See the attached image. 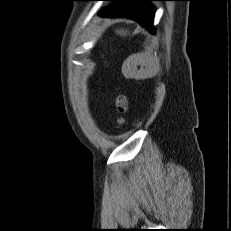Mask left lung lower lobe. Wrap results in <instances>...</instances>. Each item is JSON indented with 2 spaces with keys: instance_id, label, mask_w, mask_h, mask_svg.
<instances>
[{
  "instance_id": "0a47b994",
  "label": "left lung lower lobe",
  "mask_w": 231,
  "mask_h": 231,
  "mask_svg": "<svg viewBox=\"0 0 231 231\" xmlns=\"http://www.w3.org/2000/svg\"><path fill=\"white\" fill-rule=\"evenodd\" d=\"M115 3L105 9L101 16L106 17H126L137 21L151 33H154L152 26L155 10L148 3L149 1L161 0H104Z\"/></svg>"
}]
</instances>
